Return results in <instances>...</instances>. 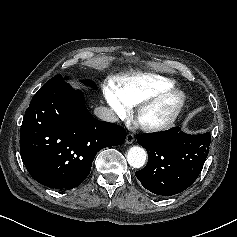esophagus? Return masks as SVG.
I'll list each match as a JSON object with an SVG mask.
<instances>
[{"label":"esophagus","mask_w":237,"mask_h":237,"mask_svg":"<svg viewBox=\"0 0 237 237\" xmlns=\"http://www.w3.org/2000/svg\"><path fill=\"white\" fill-rule=\"evenodd\" d=\"M135 140V136L133 134H127L126 136V143L127 144H132Z\"/></svg>","instance_id":"esophagus-1"}]
</instances>
